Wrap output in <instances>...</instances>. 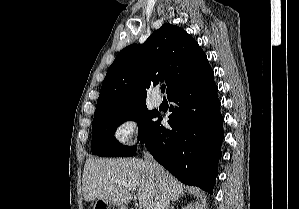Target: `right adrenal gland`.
<instances>
[{
    "label": "right adrenal gland",
    "mask_w": 299,
    "mask_h": 209,
    "mask_svg": "<svg viewBox=\"0 0 299 209\" xmlns=\"http://www.w3.org/2000/svg\"><path fill=\"white\" fill-rule=\"evenodd\" d=\"M170 209H174V207L172 206Z\"/></svg>",
    "instance_id": "1"
}]
</instances>
